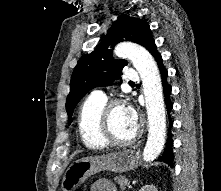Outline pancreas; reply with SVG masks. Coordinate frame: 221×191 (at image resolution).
Listing matches in <instances>:
<instances>
[{
	"label": "pancreas",
	"instance_id": "cf45deb5",
	"mask_svg": "<svg viewBox=\"0 0 221 191\" xmlns=\"http://www.w3.org/2000/svg\"><path fill=\"white\" fill-rule=\"evenodd\" d=\"M114 180L122 190H125L126 186H128L130 183V181L125 176H116Z\"/></svg>",
	"mask_w": 221,
	"mask_h": 191
}]
</instances>
